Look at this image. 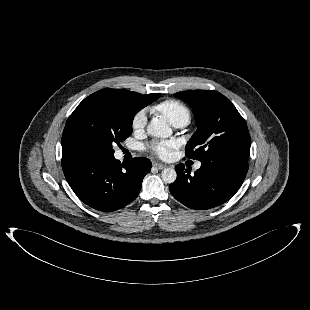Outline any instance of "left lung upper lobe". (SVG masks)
<instances>
[{
	"label": "left lung upper lobe",
	"mask_w": 310,
	"mask_h": 310,
	"mask_svg": "<svg viewBox=\"0 0 310 310\" xmlns=\"http://www.w3.org/2000/svg\"><path fill=\"white\" fill-rule=\"evenodd\" d=\"M174 95L192 107L198 127L185 148L188 158L201 162L218 159L248 162L251 139L247 124L225 96L210 90Z\"/></svg>",
	"instance_id": "obj_1"
}]
</instances>
